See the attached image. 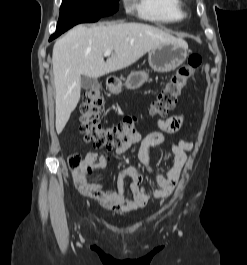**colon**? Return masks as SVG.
<instances>
[{"mask_svg": "<svg viewBox=\"0 0 247 265\" xmlns=\"http://www.w3.org/2000/svg\"><path fill=\"white\" fill-rule=\"evenodd\" d=\"M201 56L193 54L189 57L188 63L180 66L171 78L167 81L156 99L151 104V113L157 116H166L176 103L182 90L194 72L200 67ZM103 105V97L98 88H92L85 93L82 107L79 130L84 141L92 143L95 148L107 150L117 149L133 138L137 132V119L134 116H127L122 123L103 127L100 121V111ZM81 158L73 154L69 157V167L76 170L80 167Z\"/></svg>", "mask_w": 247, "mask_h": 265, "instance_id": "5ec220e1", "label": "colon"}]
</instances>
